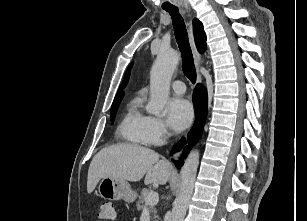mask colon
<instances>
[{
	"label": "colon",
	"instance_id": "obj_1",
	"mask_svg": "<svg viewBox=\"0 0 307 221\" xmlns=\"http://www.w3.org/2000/svg\"><path fill=\"white\" fill-rule=\"evenodd\" d=\"M98 218L100 221H109L115 218L113 204L108 201H102L99 204Z\"/></svg>",
	"mask_w": 307,
	"mask_h": 221
}]
</instances>
